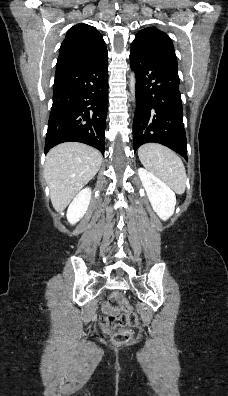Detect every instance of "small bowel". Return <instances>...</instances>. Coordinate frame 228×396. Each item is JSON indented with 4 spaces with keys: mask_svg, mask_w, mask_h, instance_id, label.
<instances>
[{
    "mask_svg": "<svg viewBox=\"0 0 228 396\" xmlns=\"http://www.w3.org/2000/svg\"><path fill=\"white\" fill-rule=\"evenodd\" d=\"M105 309L107 310V309H108V307L106 306V307H105Z\"/></svg>",
    "mask_w": 228,
    "mask_h": 396,
    "instance_id": "small-bowel-1",
    "label": "small bowel"
}]
</instances>
